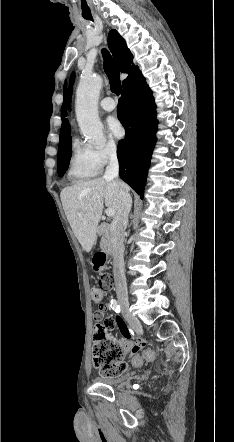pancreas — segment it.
I'll list each match as a JSON object with an SVG mask.
<instances>
[{
  "label": "pancreas",
  "instance_id": "pancreas-1",
  "mask_svg": "<svg viewBox=\"0 0 234 442\" xmlns=\"http://www.w3.org/2000/svg\"><path fill=\"white\" fill-rule=\"evenodd\" d=\"M109 238H110L109 231L105 229L100 245L101 248L108 253L111 251V246L108 243Z\"/></svg>",
  "mask_w": 234,
  "mask_h": 442
}]
</instances>
